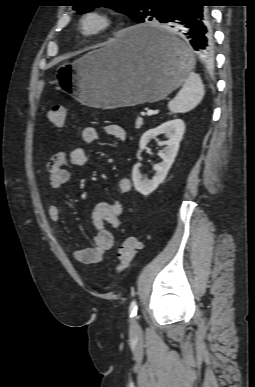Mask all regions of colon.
<instances>
[{
  "instance_id": "colon-1",
  "label": "colon",
  "mask_w": 255,
  "mask_h": 387,
  "mask_svg": "<svg viewBox=\"0 0 255 387\" xmlns=\"http://www.w3.org/2000/svg\"><path fill=\"white\" fill-rule=\"evenodd\" d=\"M66 116V108L63 105L51 107L46 114L48 121L56 127L64 126ZM139 245V241L133 236H128L120 242L117 250L118 263L114 268L115 274L121 273L130 266Z\"/></svg>"
}]
</instances>
